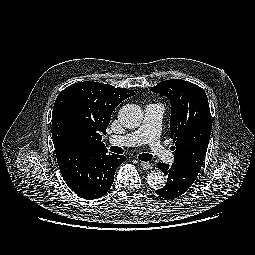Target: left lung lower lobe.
<instances>
[{
	"mask_svg": "<svg viewBox=\"0 0 255 255\" xmlns=\"http://www.w3.org/2000/svg\"><path fill=\"white\" fill-rule=\"evenodd\" d=\"M157 166L168 177L166 185L156 191V194L165 199H174L184 194L194 183L199 173L179 162H174L171 166L158 163Z\"/></svg>",
	"mask_w": 255,
	"mask_h": 255,
	"instance_id": "obj_1",
	"label": "left lung lower lobe"
}]
</instances>
